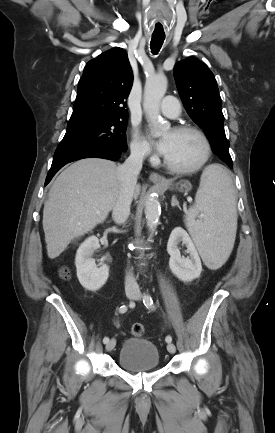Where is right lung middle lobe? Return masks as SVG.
I'll return each mask as SVG.
<instances>
[{"label":"right lung middle lobe","mask_w":275,"mask_h":433,"mask_svg":"<svg viewBox=\"0 0 275 433\" xmlns=\"http://www.w3.org/2000/svg\"><path fill=\"white\" fill-rule=\"evenodd\" d=\"M127 117L87 116L69 120L67 131L56 152L115 147L127 150Z\"/></svg>","instance_id":"right-lung-middle-lobe-1"}]
</instances>
